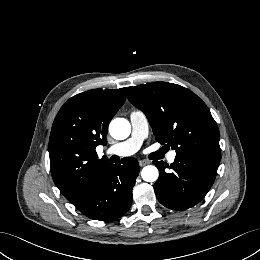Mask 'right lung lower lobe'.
Returning <instances> with one entry per match:
<instances>
[{
	"label": "right lung lower lobe",
	"mask_w": 260,
	"mask_h": 260,
	"mask_svg": "<svg viewBox=\"0 0 260 260\" xmlns=\"http://www.w3.org/2000/svg\"><path fill=\"white\" fill-rule=\"evenodd\" d=\"M139 174L138 161L133 157L121 164L106 165L98 178L74 205L89 218L110 221L123 216L132 203V188Z\"/></svg>",
	"instance_id": "1"
}]
</instances>
